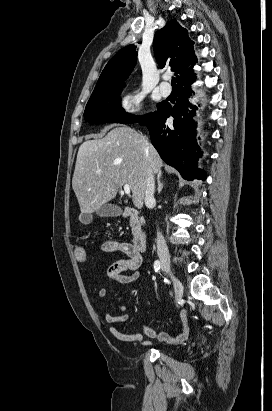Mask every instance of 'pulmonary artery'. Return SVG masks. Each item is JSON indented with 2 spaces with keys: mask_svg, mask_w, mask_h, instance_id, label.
<instances>
[{
  "mask_svg": "<svg viewBox=\"0 0 272 411\" xmlns=\"http://www.w3.org/2000/svg\"><path fill=\"white\" fill-rule=\"evenodd\" d=\"M163 79H164V80H168V79H169V75H168V74H165V75L163 76ZM160 91H161V94H162L163 96H168V95H170V93H171V87H170V85H169L167 82H162V83L160 84Z\"/></svg>",
  "mask_w": 272,
  "mask_h": 411,
  "instance_id": "pulmonary-artery-1",
  "label": "pulmonary artery"
}]
</instances>
